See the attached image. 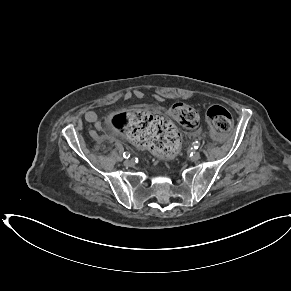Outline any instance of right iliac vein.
I'll return each mask as SVG.
<instances>
[{"label":"right iliac vein","mask_w":291,"mask_h":291,"mask_svg":"<svg viewBox=\"0 0 291 291\" xmlns=\"http://www.w3.org/2000/svg\"><path fill=\"white\" fill-rule=\"evenodd\" d=\"M133 164H134L133 161L130 160V159H127V160L124 161V165H125V166H129V167H131V166H133Z\"/></svg>","instance_id":"obj_1"}]
</instances>
